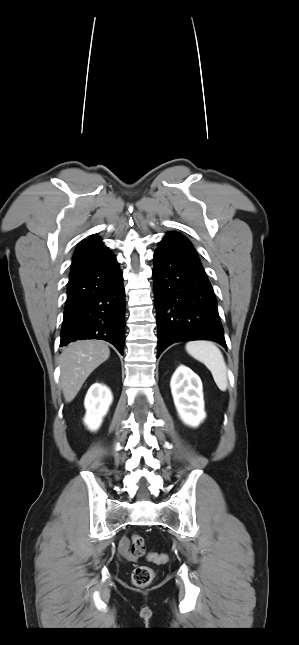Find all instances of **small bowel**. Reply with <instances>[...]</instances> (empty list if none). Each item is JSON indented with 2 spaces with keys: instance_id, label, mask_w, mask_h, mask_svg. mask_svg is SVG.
Segmentation results:
<instances>
[{
  "instance_id": "c3829d8e",
  "label": "small bowel",
  "mask_w": 299,
  "mask_h": 645,
  "mask_svg": "<svg viewBox=\"0 0 299 645\" xmlns=\"http://www.w3.org/2000/svg\"><path fill=\"white\" fill-rule=\"evenodd\" d=\"M130 540L126 537L122 538L119 543V551L121 555L127 560H134L133 555L129 551Z\"/></svg>"
}]
</instances>
